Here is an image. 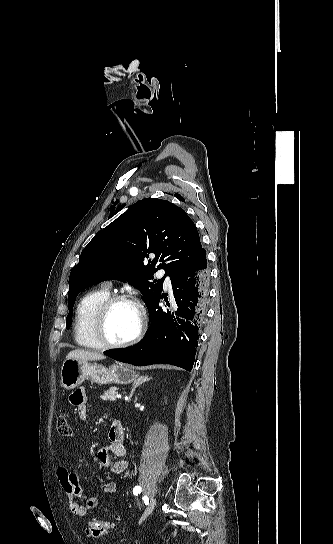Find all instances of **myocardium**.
<instances>
[{
  "label": "myocardium",
  "instance_id": "f54148a6",
  "mask_svg": "<svg viewBox=\"0 0 333 544\" xmlns=\"http://www.w3.org/2000/svg\"><path fill=\"white\" fill-rule=\"evenodd\" d=\"M121 302L129 303L136 308L139 314V325L134 335L129 339L122 342H112L106 336V320L112 307ZM146 323V314L140 302L131 295L118 293L109 295L97 308L93 318L92 332L95 340L102 348L119 349L135 344L142 337L146 329Z\"/></svg>",
  "mask_w": 333,
  "mask_h": 544
}]
</instances>
